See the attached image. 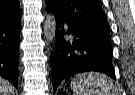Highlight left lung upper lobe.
I'll use <instances>...</instances> for the list:
<instances>
[{
    "instance_id": "left-lung-upper-lobe-1",
    "label": "left lung upper lobe",
    "mask_w": 135,
    "mask_h": 95,
    "mask_svg": "<svg viewBox=\"0 0 135 95\" xmlns=\"http://www.w3.org/2000/svg\"><path fill=\"white\" fill-rule=\"evenodd\" d=\"M46 7L73 23L109 31L101 0H46Z\"/></svg>"
}]
</instances>
